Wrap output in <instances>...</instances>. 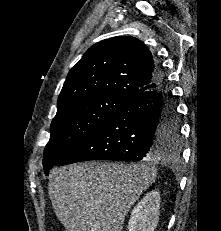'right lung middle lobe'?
Here are the masks:
<instances>
[{
    "label": "right lung middle lobe",
    "mask_w": 221,
    "mask_h": 231,
    "mask_svg": "<svg viewBox=\"0 0 221 231\" xmlns=\"http://www.w3.org/2000/svg\"><path fill=\"white\" fill-rule=\"evenodd\" d=\"M126 101L114 95H98L77 100L57 110L51 122L50 140L44 150L45 174L48 175L53 166L93 135ZM171 124L165 137L178 146L180 134L176 111L172 113Z\"/></svg>",
    "instance_id": "1"
}]
</instances>
